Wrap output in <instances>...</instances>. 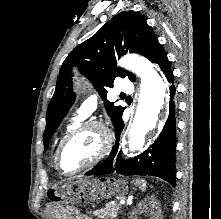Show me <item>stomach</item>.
<instances>
[{
  "label": "stomach",
  "instance_id": "stomach-1",
  "mask_svg": "<svg viewBox=\"0 0 221 219\" xmlns=\"http://www.w3.org/2000/svg\"><path fill=\"white\" fill-rule=\"evenodd\" d=\"M58 190L71 204H92L96 199H120L128 186L124 180L114 178H74Z\"/></svg>",
  "mask_w": 221,
  "mask_h": 219
}]
</instances>
